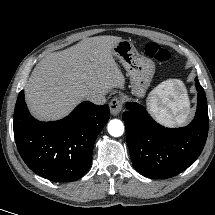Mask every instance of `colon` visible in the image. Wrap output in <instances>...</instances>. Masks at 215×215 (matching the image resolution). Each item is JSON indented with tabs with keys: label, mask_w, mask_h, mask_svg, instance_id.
<instances>
[{
	"label": "colon",
	"mask_w": 215,
	"mask_h": 215,
	"mask_svg": "<svg viewBox=\"0 0 215 215\" xmlns=\"http://www.w3.org/2000/svg\"><path fill=\"white\" fill-rule=\"evenodd\" d=\"M144 52L150 58H153L161 63L167 62L171 57L170 52L167 49L162 48L154 42L145 43Z\"/></svg>",
	"instance_id": "1"
}]
</instances>
